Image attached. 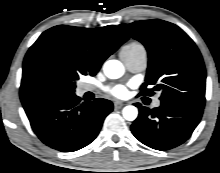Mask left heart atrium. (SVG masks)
Wrapping results in <instances>:
<instances>
[{"mask_svg":"<svg viewBox=\"0 0 220 173\" xmlns=\"http://www.w3.org/2000/svg\"><path fill=\"white\" fill-rule=\"evenodd\" d=\"M108 93L118 98H124L128 95V89L125 85H115L108 89Z\"/></svg>","mask_w":220,"mask_h":173,"instance_id":"obj_1","label":"left heart atrium"}]
</instances>
